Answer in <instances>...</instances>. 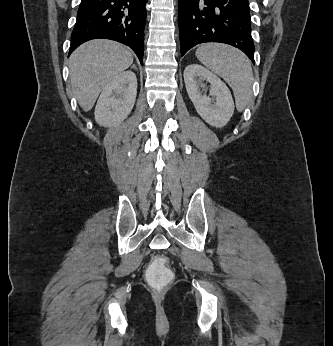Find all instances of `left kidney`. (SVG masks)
I'll use <instances>...</instances> for the list:
<instances>
[{
  "label": "left kidney",
  "instance_id": "5707ae66",
  "mask_svg": "<svg viewBox=\"0 0 333 346\" xmlns=\"http://www.w3.org/2000/svg\"><path fill=\"white\" fill-rule=\"evenodd\" d=\"M204 81L210 83L211 98L200 92V88L205 86ZM184 82L197 113L213 127H224L234 112V101L226 84L198 64H191L185 68Z\"/></svg>",
  "mask_w": 333,
  "mask_h": 346
}]
</instances>
